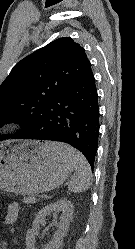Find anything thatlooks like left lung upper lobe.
<instances>
[{"instance_id":"5c2ea615","label":"left lung upper lobe","mask_w":135,"mask_h":249,"mask_svg":"<svg viewBox=\"0 0 135 249\" xmlns=\"http://www.w3.org/2000/svg\"><path fill=\"white\" fill-rule=\"evenodd\" d=\"M90 65L84 48L70 37L56 39L18 62L0 85V126L19 123L22 131L0 135V141L33 131L49 105L91 72Z\"/></svg>"}]
</instances>
